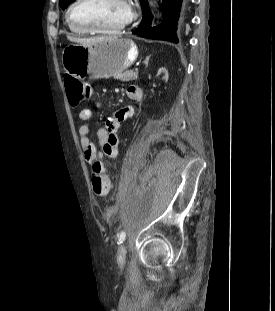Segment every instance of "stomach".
<instances>
[{
  "label": "stomach",
  "mask_w": 275,
  "mask_h": 311,
  "mask_svg": "<svg viewBox=\"0 0 275 311\" xmlns=\"http://www.w3.org/2000/svg\"><path fill=\"white\" fill-rule=\"evenodd\" d=\"M138 58L131 39L96 42L91 45L69 44L62 51V64L67 74L77 79L116 77Z\"/></svg>",
  "instance_id": "1"
}]
</instances>
